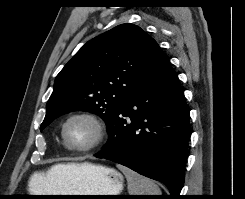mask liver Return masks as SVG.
I'll return each mask as SVG.
<instances>
[{"instance_id":"liver-1","label":"liver","mask_w":245,"mask_h":199,"mask_svg":"<svg viewBox=\"0 0 245 199\" xmlns=\"http://www.w3.org/2000/svg\"><path fill=\"white\" fill-rule=\"evenodd\" d=\"M83 164H57L50 168L46 174H34L32 182L40 184L41 190L46 193H59L63 190V183Z\"/></svg>"}]
</instances>
